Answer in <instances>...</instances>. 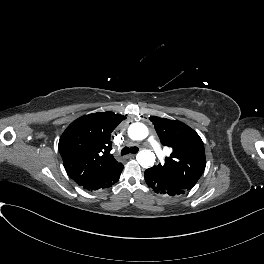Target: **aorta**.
<instances>
[{
  "instance_id": "obj_1",
  "label": "aorta",
  "mask_w": 264,
  "mask_h": 264,
  "mask_svg": "<svg viewBox=\"0 0 264 264\" xmlns=\"http://www.w3.org/2000/svg\"><path fill=\"white\" fill-rule=\"evenodd\" d=\"M129 136L138 141L145 140L149 135L147 126L141 122H134L128 128ZM155 158L149 154H143L140 158V164L144 168H149L154 165Z\"/></svg>"
}]
</instances>
